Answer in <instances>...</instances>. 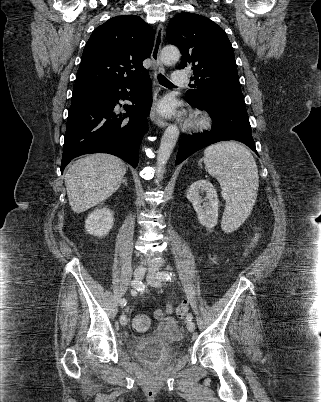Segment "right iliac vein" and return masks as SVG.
Masks as SVG:
<instances>
[{
  "label": "right iliac vein",
  "mask_w": 321,
  "mask_h": 402,
  "mask_svg": "<svg viewBox=\"0 0 321 402\" xmlns=\"http://www.w3.org/2000/svg\"><path fill=\"white\" fill-rule=\"evenodd\" d=\"M145 274V269L143 267H138L134 271V279L138 282H140ZM120 322L123 326L127 325V318L125 314H122L120 317Z\"/></svg>",
  "instance_id": "obj_1"
}]
</instances>
